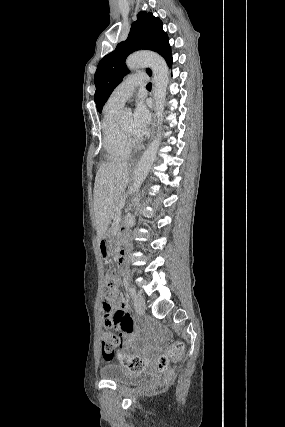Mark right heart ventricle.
Returning <instances> with one entry per match:
<instances>
[{"mask_svg":"<svg viewBox=\"0 0 285 427\" xmlns=\"http://www.w3.org/2000/svg\"><path fill=\"white\" fill-rule=\"evenodd\" d=\"M120 106L110 104L104 107L102 120V144L110 160L122 161L130 157L132 145L127 143L118 125L117 114Z\"/></svg>","mask_w":285,"mask_h":427,"instance_id":"obj_1","label":"right heart ventricle"}]
</instances>
